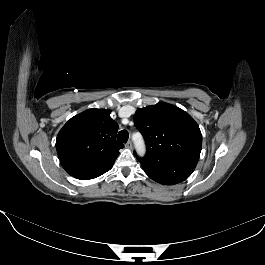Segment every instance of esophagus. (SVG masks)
<instances>
[{
	"label": "esophagus",
	"mask_w": 265,
	"mask_h": 265,
	"mask_svg": "<svg viewBox=\"0 0 265 265\" xmlns=\"http://www.w3.org/2000/svg\"><path fill=\"white\" fill-rule=\"evenodd\" d=\"M126 147L131 149L132 148V143L131 141L129 140L127 143H126Z\"/></svg>",
	"instance_id": "esophagus-1"
}]
</instances>
